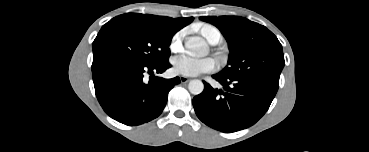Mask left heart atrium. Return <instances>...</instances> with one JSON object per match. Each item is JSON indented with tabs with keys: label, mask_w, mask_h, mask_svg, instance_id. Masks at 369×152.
Instances as JSON below:
<instances>
[{
	"label": "left heart atrium",
	"mask_w": 369,
	"mask_h": 152,
	"mask_svg": "<svg viewBox=\"0 0 369 152\" xmlns=\"http://www.w3.org/2000/svg\"><path fill=\"white\" fill-rule=\"evenodd\" d=\"M174 70L183 76H198L214 70L215 61L213 58H196L190 55H182L174 59Z\"/></svg>",
	"instance_id": "obj_1"
}]
</instances>
